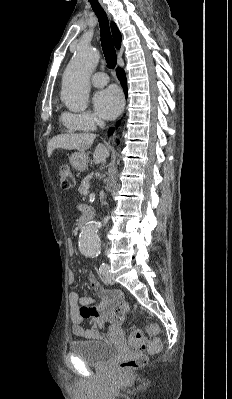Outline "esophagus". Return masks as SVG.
Wrapping results in <instances>:
<instances>
[{
  "mask_svg": "<svg viewBox=\"0 0 232 399\" xmlns=\"http://www.w3.org/2000/svg\"><path fill=\"white\" fill-rule=\"evenodd\" d=\"M99 2L101 3V0H99ZM104 10H105V12L107 13V15L110 17V14H109V12L107 11V8L104 6Z\"/></svg>",
  "mask_w": 232,
  "mask_h": 399,
  "instance_id": "34e87169",
  "label": "esophagus"
}]
</instances>
